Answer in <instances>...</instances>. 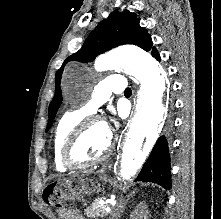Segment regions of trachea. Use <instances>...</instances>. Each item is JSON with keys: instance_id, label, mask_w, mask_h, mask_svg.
I'll return each instance as SVG.
<instances>
[{"instance_id": "1", "label": "trachea", "mask_w": 221, "mask_h": 219, "mask_svg": "<svg viewBox=\"0 0 221 219\" xmlns=\"http://www.w3.org/2000/svg\"><path fill=\"white\" fill-rule=\"evenodd\" d=\"M125 95H128V94H132V91L130 88H127L124 92Z\"/></svg>"}]
</instances>
